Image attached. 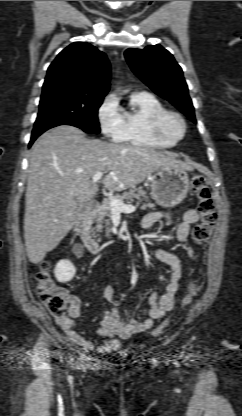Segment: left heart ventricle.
I'll return each mask as SVG.
<instances>
[{
    "label": "left heart ventricle",
    "mask_w": 242,
    "mask_h": 416,
    "mask_svg": "<svg viewBox=\"0 0 242 416\" xmlns=\"http://www.w3.org/2000/svg\"><path fill=\"white\" fill-rule=\"evenodd\" d=\"M164 130L171 136H179L181 134V125L177 119L168 117L164 122Z\"/></svg>",
    "instance_id": "left-heart-ventricle-1"
}]
</instances>
